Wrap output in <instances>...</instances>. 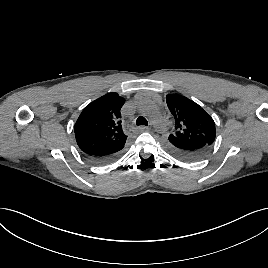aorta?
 I'll return each mask as SVG.
<instances>
[{"instance_id": "obj_1", "label": "aorta", "mask_w": 268, "mask_h": 268, "mask_svg": "<svg viewBox=\"0 0 268 268\" xmlns=\"http://www.w3.org/2000/svg\"><path fill=\"white\" fill-rule=\"evenodd\" d=\"M137 105L139 112L147 116L157 129L164 130L166 128V119L151 97L147 95L139 97Z\"/></svg>"}]
</instances>
